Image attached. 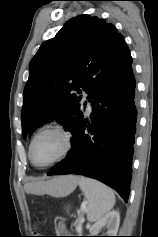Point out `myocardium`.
<instances>
[{
  "label": "myocardium",
  "mask_w": 158,
  "mask_h": 237,
  "mask_svg": "<svg viewBox=\"0 0 158 237\" xmlns=\"http://www.w3.org/2000/svg\"><path fill=\"white\" fill-rule=\"evenodd\" d=\"M45 132L59 133L63 137L65 145H64L63 151L61 152V154L58 157H56L55 159H53L52 161H50L46 164L39 165L33 159L32 149H33V145H34V142L37 139V137ZM71 149H72V137H71L70 132L67 130V128L61 124H50V125H46V126L42 127L40 130H38L34 134V136L32 137V139L30 141V144H29L28 156H29V160H30L31 164L34 167H36L38 169H46V168L51 167L54 164L60 162L61 160H63L69 154Z\"/></svg>",
  "instance_id": "1"
}]
</instances>
